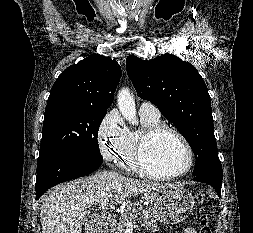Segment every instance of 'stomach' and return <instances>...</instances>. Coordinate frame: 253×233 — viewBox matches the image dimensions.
<instances>
[{"label":"stomach","instance_id":"1","mask_svg":"<svg viewBox=\"0 0 253 233\" xmlns=\"http://www.w3.org/2000/svg\"><path fill=\"white\" fill-rule=\"evenodd\" d=\"M145 205L156 220L173 225L189 216L194 207V198L183 186L166 184L145 193Z\"/></svg>","mask_w":253,"mask_h":233}]
</instances>
